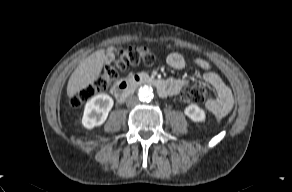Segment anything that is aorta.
Masks as SVG:
<instances>
[{"label":"aorta","instance_id":"1","mask_svg":"<svg viewBox=\"0 0 292 192\" xmlns=\"http://www.w3.org/2000/svg\"><path fill=\"white\" fill-rule=\"evenodd\" d=\"M153 96H154L153 89L148 85H144L140 87L138 90V97L143 102H150Z\"/></svg>","mask_w":292,"mask_h":192}]
</instances>
